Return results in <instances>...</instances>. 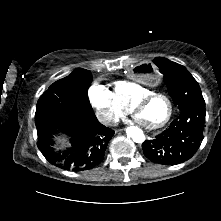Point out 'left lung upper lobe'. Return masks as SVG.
Wrapping results in <instances>:
<instances>
[{
	"label": "left lung upper lobe",
	"mask_w": 221,
	"mask_h": 221,
	"mask_svg": "<svg viewBox=\"0 0 221 221\" xmlns=\"http://www.w3.org/2000/svg\"><path fill=\"white\" fill-rule=\"evenodd\" d=\"M154 63L164 74L169 94L180 110L205 103L198 82L184 66L161 57L155 58Z\"/></svg>",
	"instance_id": "5c2ea615"
}]
</instances>
